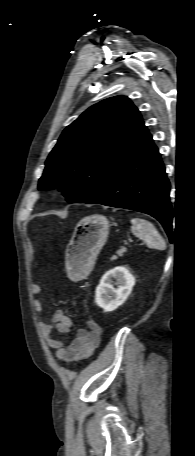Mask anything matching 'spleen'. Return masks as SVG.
Listing matches in <instances>:
<instances>
[{
	"mask_svg": "<svg viewBox=\"0 0 195 456\" xmlns=\"http://www.w3.org/2000/svg\"><path fill=\"white\" fill-rule=\"evenodd\" d=\"M132 233L143 240L149 247L163 250L166 247L165 241L155 226L144 219L133 218L131 219Z\"/></svg>",
	"mask_w": 195,
	"mask_h": 456,
	"instance_id": "spleen-1",
	"label": "spleen"
}]
</instances>
